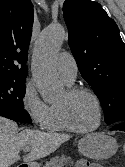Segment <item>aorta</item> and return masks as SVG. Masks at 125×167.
I'll return each mask as SVG.
<instances>
[{
  "label": "aorta",
  "mask_w": 125,
  "mask_h": 167,
  "mask_svg": "<svg viewBox=\"0 0 125 167\" xmlns=\"http://www.w3.org/2000/svg\"><path fill=\"white\" fill-rule=\"evenodd\" d=\"M65 29L60 24L46 27L40 34L32 59V76L45 102H53L61 94L55 66V56L65 39Z\"/></svg>",
  "instance_id": "aorta-1"
}]
</instances>
